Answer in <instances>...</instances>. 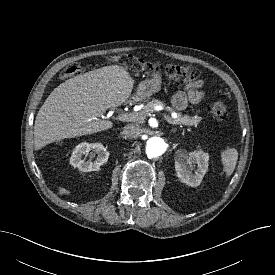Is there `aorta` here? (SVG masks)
<instances>
[{
  "label": "aorta",
  "mask_w": 275,
  "mask_h": 275,
  "mask_svg": "<svg viewBox=\"0 0 275 275\" xmlns=\"http://www.w3.org/2000/svg\"><path fill=\"white\" fill-rule=\"evenodd\" d=\"M167 144L160 137H151L146 142V154L149 158H156L164 154Z\"/></svg>",
  "instance_id": "aorta-1"
}]
</instances>
